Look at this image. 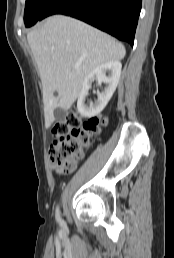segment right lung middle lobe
Returning a JSON list of instances; mask_svg holds the SVG:
<instances>
[{"label": "right lung middle lobe", "mask_w": 174, "mask_h": 258, "mask_svg": "<svg viewBox=\"0 0 174 258\" xmlns=\"http://www.w3.org/2000/svg\"><path fill=\"white\" fill-rule=\"evenodd\" d=\"M53 0H26L24 22L26 27L34 25L43 19L45 9Z\"/></svg>", "instance_id": "obj_1"}]
</instances>
